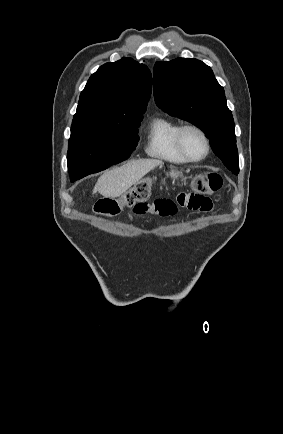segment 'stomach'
I'll return each instance as SVG.
<instances>
[{
	"label": "stomach",
	"mask_w": 283,
	"mask_h": 434,
	"mask_svg": "<svg viewBox=\"0 0 283 434\" xmlns=\"http://www.w3.org/2000/svg\"><path fill=\"white\" fill-rule=\"evenodd\" d=\"M170 171H174V174H170V175H173V178H171L173 180L178 179L179 177L182 176V172L176 168H172V169H170Z\"/></svg>",
	"instance_id": "0dacf381"
}]
</instances>
